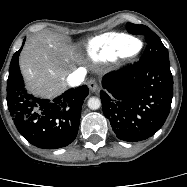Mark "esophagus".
Returning a JSON list of instances; mask_svg holds the SVG:
<instances>
[{"label": "esophagus", "mask_w": 187, "mask_h": 187, "mask_svg": "<svg viewBox=\"0 0 187 187\" xmlns=\"http://www.w3.org/2000/svg\"><path fill=\"white\" fill-rule=\"evenodd\" d=\"M88 87H89L91 92H96L99 89V85L95 80H90L88 82Z\"/></svg>", "instance_id": "34e87169"}]
</instances>
